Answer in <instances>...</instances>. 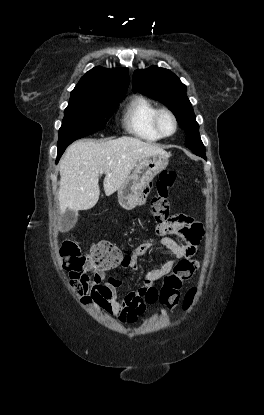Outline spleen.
Returning <instances> with one entry per match:
<instances>
[{
    "label": "spleen",
    "instance_id": "spleen-1",
    "mask_svg": "<svg viewBox=\"0 0 264 415\" xmlns=\"http://www.w3.org/2000/svg\"><path fill=\"white\" fill-rule=\"evenodd\" d=\"M203 193L206 194V190H204Z\"/></svg>",
    "mask_w": 264,
    "mask_h": 415
}]
</instances>
